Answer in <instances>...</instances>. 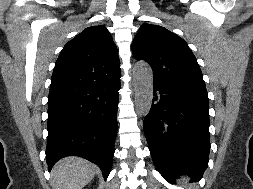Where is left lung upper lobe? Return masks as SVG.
<instances>
[{
	"label": "left lung upper lobe",
	"mask_w": 253,
	"mask_h": 189,
	"mask_svg": "<svg viewBox=\"0 0 253 189\" xmlns=\"http://www.w3.org/2000/svg\"><path fill=\"white\" fill-rule=\"evenodd\" d=\"M136 60H145L158 83L208 99L202 72L187 43L158 25L144 23L132 42Z\"/></svg>",
	"instance_id": "1"
}]
</instances>
